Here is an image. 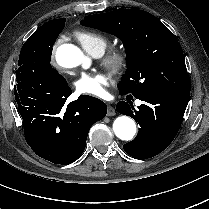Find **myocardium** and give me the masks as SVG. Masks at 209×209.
Returning <instances> with one entry per match:
<instances>
[{
  "label": "myocardium",
  "mask_w": 209,
  "mask_h": 209,
  "mask_svg": "<svg viewBox=\"0 0 209 209\" xmlns=\"http://www.w3.org/2000/svg\"><path fill=\"white\" fill-rule=\"evenodd\" d=\"M126 57L127 55L123 48H114L107 54L103 62L109 70H118L124 66Z\"/></svg>",
  "instance_id": "obj_1"
}]
</instances>
